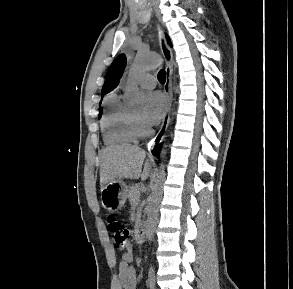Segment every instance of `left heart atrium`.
<instances>
[{
    "label": "left heart atrium",
    "instance_id": "left-heart-atrium-1",
    "mask_svg": "<svg viewBox=\"0 0 293 289\" xmlns=\"http://www.w3.org/2000/svg\"><path fill=\"white\" fill-rule=\"evenodd\" d=\"M167 110V100L160 92H150L146 97L145 122L148 124L158 123Z\"/></svg>",
    "mask_w": 293,
    "mask_h": 289
}]
</instances>
